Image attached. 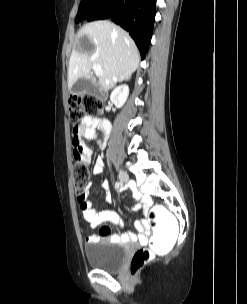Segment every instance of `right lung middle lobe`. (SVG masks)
<instances>
[{
  "mask_svg": "<svg viewBox=\"0 0 247 304\" xmlns=\"http://www.w3.org/2000/svg\"><path fill=\"white\" fill-rule=\"evenodd\" d=\"M104 0H81L75 23L87 19L94 14Z\"/></svg>",
  "mask_w": 247,
  "mask_h": 304,
  "instance_id": "dd1d6c3e",
  "label": "right lung middle lobe"
}]
</instances>
